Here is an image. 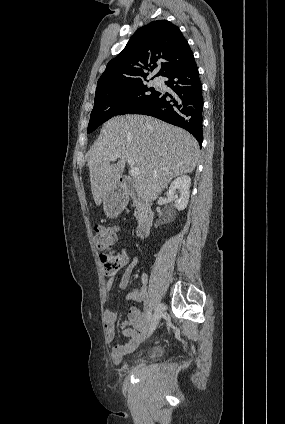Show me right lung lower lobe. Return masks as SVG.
<instances>
[{"instance_id": "98d812e1", "label": "right lung lower lobe", "mask_w": 285, "mask_h": 424, "mask_svg": "<svg viewBox=\"0 0 285 424\" xmlns=\"http://www.w3.org/2000/svg\"><path fill=\"white\" fill-rule=\"evenodd\" d=\"M165 77V84L172 95L157 92L149 101L133 109L129 114H143L156 117L190 132L199 142L202 134V84L194 58L184 66L175 69ZM167 96L170 100H167Z\"/></svg>"}]
</instances>
